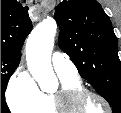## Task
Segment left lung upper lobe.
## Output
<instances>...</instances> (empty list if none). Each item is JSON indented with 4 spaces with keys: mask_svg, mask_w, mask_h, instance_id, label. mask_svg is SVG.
Masks as SVG:
<instances>
[{
    "mask_svg": "<svg viewBox=\"0 0 121 113\" xmlns=\"http://www.w3.org/2000/svg\"><path fill=\"white\" fill-rule=\"evenodd\" d=\"M59 45L80 75L121 113V62L111 21L96 0H68L55 10Z\"/></svg>",
    "mask_w": 121,
    "mask_h": 113,
    "instance_id": "1",
    "label": "left lung upper lobe"
}]
</instances>
